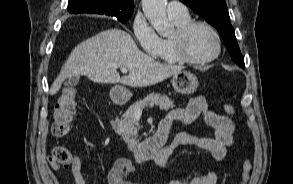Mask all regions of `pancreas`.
I'll return each instance as SVG.
<instances>
[{"mask_svg": "<svg viewBox=\"0 0 293 184\" xmlns=\"http://www.w3.org/2000/svg\"><path fill=\"white\" fill-rule=\"evenodd\" d=\"M159 106L161 110L168 111L175 107L174 102L170 100L166 95H161L159 93H151L147 95L144 99L136 101L133 103L122 115L121 119H117L116 132L123 137L124 140L136 143L137 133L140 130V124L135 119V112L138 109H143L147 106Z\"/></svg>", "mask_w": 293, "mask_h": 184, "instance_id": "pancreas-1", "label": "pancreas"}]
</instances>
